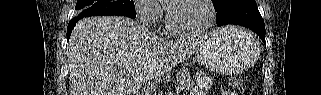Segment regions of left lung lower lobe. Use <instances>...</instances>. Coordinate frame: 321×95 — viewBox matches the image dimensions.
I'll return each mask as SVG.
<instances>
[{
    "label": "left lung lower lobe",
    "instance_id": "obj_1",
    "mask_svg": "<svg viewBox=\"0 0 321 95\" xmlns=\"http://www.w3.org/2000/svg\"><path fill=\"white\" fill-rule=\"evenodd\" d=\"M216 12L218 26L226 24L245 26L256 32L265 42V25L255 0H227Z\"/></svg>",
    "mask_w": 321,
    "mask_h": 95
}]
</instances>
